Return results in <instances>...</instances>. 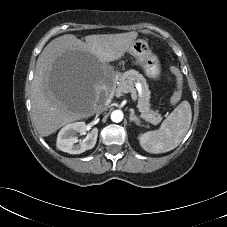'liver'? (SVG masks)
<instances>
[{"label":"liver","instance_id":"6515ba94","mask_svg":"<svg viewBox=\"0 0 227 227\" xmlns=\"http://www.w3.org/2000/svg\"><path fill=\"white\" fill-rule=\"evenodd\" d=\"M138 37L136 31L118 34H94L85 42L65 34L52 40L43 49L36 63L31 86L32 121L41 136H49L62 126L91 116L106 84L98 63L119 60ZM67 52L81 55L88 73L81 86L70 93L56 90L49 72L56 59Z\"/></svg>","mask_w":227,"mask_h":227}]
</instances>
